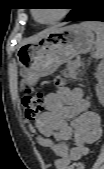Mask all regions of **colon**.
I'll use <instances>...</instances> for the list:
<instances>
[{"label": "colon", "instance_id": "1", "mask_svg": "<svg viewBox=\"0 0 104 169\" xmlns=\"http://www.w3.org/2000/svg\"><path fill=\"white\" fill-rule=\"evenodd\" d=\"M57 83L60 84L61 81L58 80ZM21 105L26 119L28 121H34L43 111V94L38 91L28 90L21 99ZM67 169H84V164L81 162H74L70 164Z\"/></svg>", "mask_w": 104, "mask_h": 169}]
</instances>
